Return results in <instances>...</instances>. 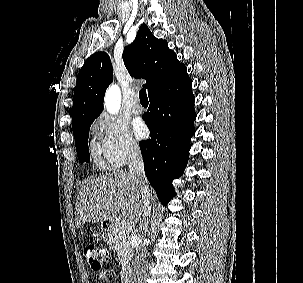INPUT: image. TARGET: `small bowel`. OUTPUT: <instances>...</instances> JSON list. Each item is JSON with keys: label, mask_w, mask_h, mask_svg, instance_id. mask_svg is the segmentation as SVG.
<instances>
[{"label": "small bowel", "mask_w": 303, "mask_h": 283, "mask_svg": "<svg viewBox=\"0 0 303 283\" xmlns=\"http://www.w3.org/2000/svg\"><path fill=\"white\" fill-rule=\"evenodd\" d=\"M109 269H110V267L104 268V270L98 276V280L99 281H101L104 278V276L107 274V272L109 271Z\"/></svg>", "instance_id": "obj_1"}]
</instances>
